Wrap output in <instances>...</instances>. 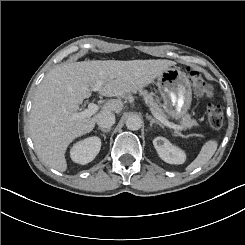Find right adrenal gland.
<instances>
[{
	"mask_svg": "<svg viewBox=\"0 0 245 245\" xmlns=\"http://www.w3.org/2000/svg\"><path fill=\"white\" fill-rule=\"evenodd\" d=\"M99 130H101L102 132H110V128H107V129H103V128H99ZM104 138H106V136L104 135Z\"/></svg>",
	"mask_w": 245,
	"mask_h": 245,
	"instance_id": "obj_1",
	"label": "right adrenal gland"
}]
</instances>
